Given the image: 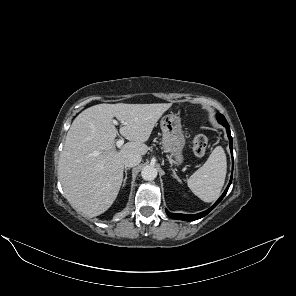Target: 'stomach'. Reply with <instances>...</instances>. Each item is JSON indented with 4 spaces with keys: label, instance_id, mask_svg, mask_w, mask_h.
I'll use <instances>...</instances> for the list:
<instances>
[{
    "label": "stomach",
    "instance_id": "0dacf381",
    "mask_svg": "<svg viewBox=\"0 0 296 296\" xmlns=\"http://www.w3.org/2000/svg\"><path fill=\"white\" fill-rule=\"evenodd\" d=\"M160 126L163 149L171 154L176 164H181L183 162L182 151L185 146V137L180 118L174 114L165 115L161 119Z\"/></svg>",
    "mask_w": 296,
    "mask_h": 296
}]
</instances>
